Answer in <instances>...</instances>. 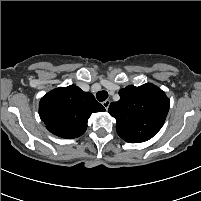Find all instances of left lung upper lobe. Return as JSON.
<instances>
[{"instance_id":"1","label":"left lung upper lobe","mask_w":201,"mask_h":201,"mask_svg":"<svg viewBox=\"0 0 201 201\" xmlns=\"http://www.w3.org/2000/svg\"><path fill=\"white\" fill-rule=\"evenodd\" d=\"M120 100L108 112L115 117L118 135L129 143L151 139L163 126L170 101L164 91L151 83L129 85L119 91Z\"/></svg>"}]
</instances>
